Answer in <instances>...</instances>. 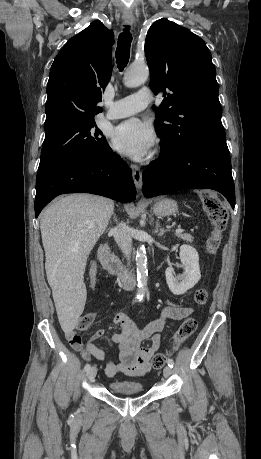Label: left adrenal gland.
Instances as JSON below:
<instances>
[{
    "mask_svg": "<svg viewBox=\"0 0 261 459\" xmlns=\"http://www.w3.org/2000/svg\"><path fill=\"white\" fill-rule=\"evenodd\" d=\"M169 229L161 228L159 220L156 222V228H155V233L158 234L159 237L163 236L166 232H168Z\"/></svg>",
    "mask_w": 261,
    "mask_h": 459,
    "instance_id": "left-adrenal-gland-1",
    "label": "left adrenal gland"
}]
</instances>
